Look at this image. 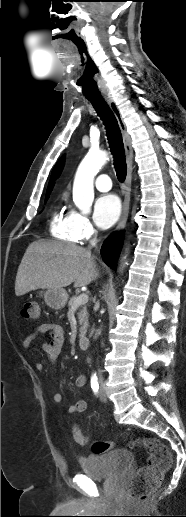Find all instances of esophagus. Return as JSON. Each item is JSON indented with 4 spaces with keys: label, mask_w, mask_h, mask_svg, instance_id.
<instances>
[{
    "label": "esophagus",
    "mask_w": 186,
    "mask_h": 517,
    "mask_svg": "<svg viewBox=\"0 0 186 517\" xmlns=\"http://www.w3.org/2000/svg\"><path fill=\"white\" fill-rule=\"evenodd\" d=\"M104 100L109 105L110 109L112 110L113 114L115 115L119 128L121 130L123 143H124V149H125V156H126V162H127V176L125 179L124 184V200H123V208H122V215L119 220V223L116 227V231H121L124 229L128 215L130 210V199H131V181H132V170H133V148L131 143V137L127 131L126 124L123 120V117L121 115V112L115 103V101L108 95L103 94Z\"/></svg>",
    "instance_id": "34e87169"
}]
</instances>
